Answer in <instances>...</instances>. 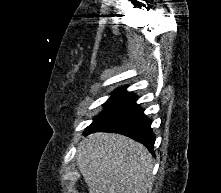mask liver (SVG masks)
I'll list each match as a JSON object with an SVG mask.
<instances>
[{
	"instance_id": "1",
	"label": "liver",
	"mask_w": 221,
	"mask_h": 193,
	"mask_svg": "<svg viewBox=\"0 0 221 193\" xmlns=\"http://www.w3.org/2000/svg\"><path fill=\"white\" fill-rule=\"evenodd\" d=\"M77 165L89 193H147L152 186L151 154L121 134L84 137L78 146Z\"/></svg>"
}]
</instances>
